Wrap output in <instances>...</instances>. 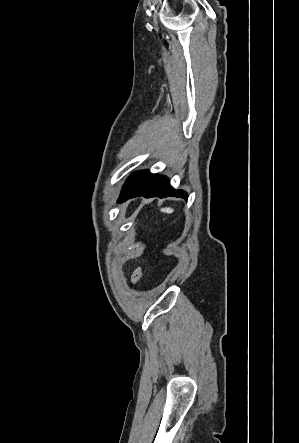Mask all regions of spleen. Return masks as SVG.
Wrapping results in <instances>:
<instances>
[{
    "instance_id": "1",
    "label": "spleen",
    "mask_w": 299,
    "mask_h": 443,
    "mask_svg": "<svg viewBox=\"0 0 299 443\" xmlns=\"http://www.w3.org/2000/svg\"><path fill=\"white\" fill-rule=\"evenodd\" d=\"M174 210L172 209V208H161V212H164V213H168V214H170V213H172Z\"/></svg>"
}]
</instances>
